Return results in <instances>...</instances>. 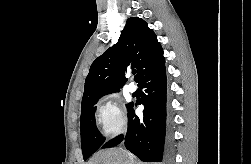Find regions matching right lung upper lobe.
I'll return each mask as SVG.
<instances>
[{
	"instance_id": "right-lung-upper-lobe-1",
	"label": "right lung upper lobe",
	"mask_w": 251,
	"mask_h": 164,
	"mask_svg": "<svg viewBox=\"0 0 251 164\" xmlns=\"http://www.w3.org/2000/svg\"><path fill=\"white\" fill-rule=\"evenodd\" d=\"M165 63L163 50L155 33L138 17H130L119 41L91 65L85 81L82 107L102 95L119 91L127 81L125 73L136 68V82Z\"/></svg>"
}]
</instances>
